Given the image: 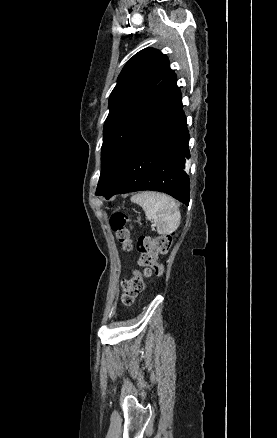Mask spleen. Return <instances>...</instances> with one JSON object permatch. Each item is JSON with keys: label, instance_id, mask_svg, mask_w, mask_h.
<instances>
[{"label": "spleen", "instance_id": "1", "mask_svg": "<svg viewBox=\"0 0 277 438\" xmlns=\"http://www.w3.org/2000/svg\"><path fill=\"white\" fill-rule=\"evenodd\" d=\"M131 202L143 208L147 220H153L158 234H172L180 226V212L173 198L158 192H140L132 196Z\"/></svg>", "mask_w": 277, "mask_h": 438}]
</instances>
